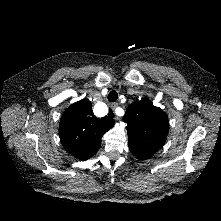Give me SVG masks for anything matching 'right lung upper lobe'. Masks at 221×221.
I'll list each match as a JSON object with an SVG mask.
<instances>
[{
    "mask_svg": "<svg viewBox=\"0 0 221 221\" xmlns=\"http://www.w3.org/2000/svg\"><path fill=\"white\" fill-rule=\"evenodd\" d=\"M114 123L107 116L96 118L91 102L83 99L68 107L62 114L59 124L61 143L69 154L85 161L97 153L103 134Z\"/></svg>",
    "mask_w": 221,
    "mask_h": 221,
    "instance_id": "obj_1",
    "label": "right lung upper lobe"
}]
</instances>
